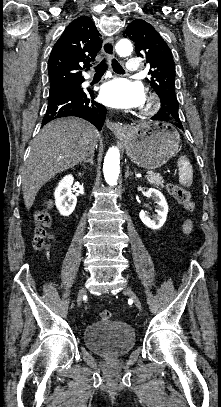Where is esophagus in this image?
<instances>
[{"label": "esophagus", "mask_w": 221, "mask_h": 407, "mask_svg": "<svg viewBox=\"0 0 221 407\" xmlns=\"http://www.w3.org/2000/svg\"><path fill=\"white\" fill-rule=\"evenodd\" d=\"M102 51L107 58H113L115 56L113 38H108L103 42ZM106 126L116 136H122L130 130V127H128L127 125H122L117 122H113L109 118H107L106 120Z\"/></svg>", "instance_id": "obj_1"}]
</instances>
